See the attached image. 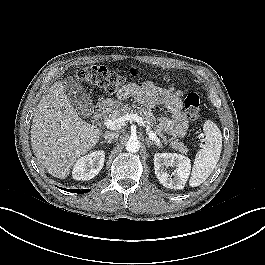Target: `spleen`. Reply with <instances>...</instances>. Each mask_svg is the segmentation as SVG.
Instances as JSON below:
<instances>
[{
  "label": "spleen",
  "instance_id": "obj_1",
  "mask_svg": "<svg viewBox=\"0 0 265 265\" xmlns=\"http://www.w3.org/2000/svg\"><path fill=\"white\" fill-rule=\"evenodd\" d=\"M205 144L198 151L192 168L189 185L197 187L211 175L215 169L222 150V135L217 125L207 120L203 126Z\"/></svg>",
  "mask_w": 265,
  "mask_h": 265
}]
</instances>
